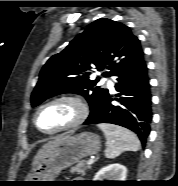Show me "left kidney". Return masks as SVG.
Masks as SVG:
<instances>
[{
    "instance_id": "5707ae66",
    "label": "left kidney",
    "mask_w": 178,
    "mask_h": 186,
    "mask_svg": "<svg viewBox=\"0 0 178 186\" xmlns=\"http://www.w3.org/2000/svg\"><path fill=\"white\" fill-rule=\"evenodd\" d=\"M126 176V167L114 163L100 169L94 176L93 181H126Z\"/></svg>"
}]
</instances>
